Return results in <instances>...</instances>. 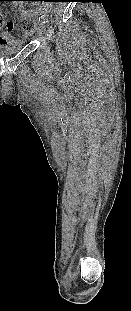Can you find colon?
<instances>
[{
	"instance_id": "5ec220e1",
	"label": "colon",
	"mask_w": 131,
	"mask_h": 311,
	"mask_svg": "<svg viewBox=\"0 0 131 311\" xmlns=\"http://www.w3.org/2000/svg\"><path fill=\"white\" fill-rule=\"evenodd\" d=\"M3 18H2V16L0 15V25L1 24H3ZM33 27H34V24H32V23H29V22H22L21 24H20V29L24 32H28V31H30V30H32L33 29Z\"/></svg>"
}]
</instances>
